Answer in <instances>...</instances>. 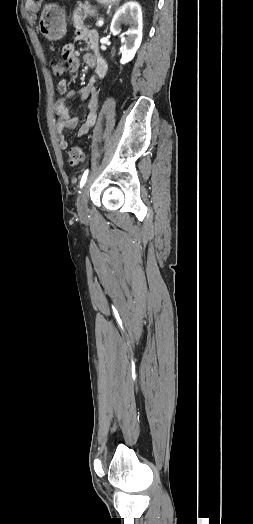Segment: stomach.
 Wrapping results in <instances>:
<instances>
[{"mask_svg": "<svg viewBox=\"0 0 253 524\" xmlns=\"http://www.w3.org/2000/svg\"><path fill=\"white\" fill-rule=\"evenodd\" d=\"M98 3L109 6L116 5L120 0H96ZM38 29L40 33L51 41L61 39L66 33V14L64 9L56 4H48L44 7Z\"/></svg>", "mask_w": 253, "mask_h": 524, "instance_id": "1", "label": "stomach"}]
</instances>
